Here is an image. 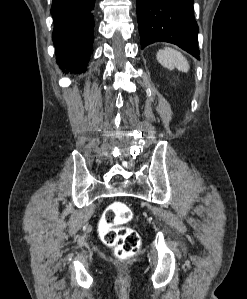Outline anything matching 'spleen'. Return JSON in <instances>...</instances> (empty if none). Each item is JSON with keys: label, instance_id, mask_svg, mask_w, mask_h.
Listing matches in <instances>:
<instances>
[{"label": "spleen", "instance_id": "1", "mask_svg": "<svg viewBox=\"0 0 247 299\" xmlns=\"http://www.w3.org/2000/svg\"><path fill=\"white\" fill-rule=\"evenodd\" d=\"M157 60L162 66L170 70L177 68L182 72H188L190 68L187 59L180 52L172 48L159 50L157 53Z\"/></svg>", "mask_w": 247, "mask_h": 299}]
</instances>
